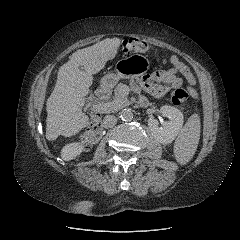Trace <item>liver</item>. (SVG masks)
Instances as JSON below:
<instances>
[{"label":"liver","mask_w":240,"mask_h":240,"mask_svg":"<svg viewBox=\"0 0 240 240\" xmlns=\"http://www.w3.org/2000/svg\"><path fill=\"white\" fill-rule=\"evenodd\" d=\"M120 42L118 38H106L77 50L59 68L54 90L46 102L48 140H55L60 135H76L88 126L89 117L82 112V107L93 83L92 75L116 57ZM80 66H84L85 71L80 70Z\"/></svg>","instance_id":"obj_1"}]
</instances>
